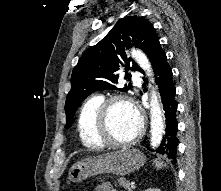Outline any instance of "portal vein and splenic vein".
I'll list each match as a JSON object with an SVG mask.
<instances>
[{"label": "portal vein and splenic vein", "instance_id": "18ae733b", "mask_svg": "<svg viewBox=\"0 0 221 191\" xmlns=\"http://www.w3.org/2000/svg\"><path fill=\"white\" fill-rule=\"evenodd\" d=\"M131 186H132V188H135L134 182H131Z\"/></svg>", "mask_w": 221, "mask_h": 191}]
</instances>
